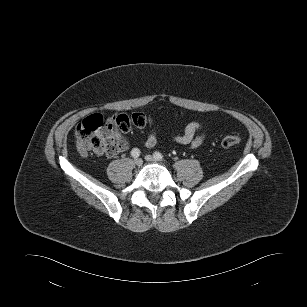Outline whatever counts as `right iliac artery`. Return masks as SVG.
<instances>
[{
  "label": "right iliac artery",
  "instance_id": "1",
  "mask_svg": "<svg viewBox=\"0 0 307 307\" xmlns=\"http://www.w3.org/2000/svg\"><path fill=\"white\" fill-rule=\"evenodd\" d=\"M131 155L133 158H138L140 156V150L138 148L132 149Z\"/></svg>",
  "mask_w": 307,
  "mask_h": 307
}]
</instances>
